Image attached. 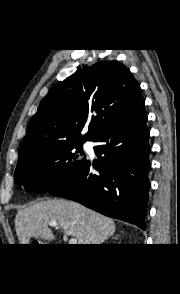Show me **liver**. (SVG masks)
Masks as SVG:
<instances>
[{
    "label": "liver",
    "mask_w": 180,
    "mask_h": 294,
    "mask_svg": "<svg viewBox=\"0 0 180 294\" xmlns=\"http://www.w3.org/2000/svg\"><path fill=\"white\" fill-rule=\"evenodd\" d=\"M56 222L78 244H102L116 230L112 219L92 211L79 203L63 199L32 203L20 209L15 217V229L20 244H29L30 238L53 240L48 227Z\"/></svg>",
    "instance_id": "obj_1"
}]
</instances>
